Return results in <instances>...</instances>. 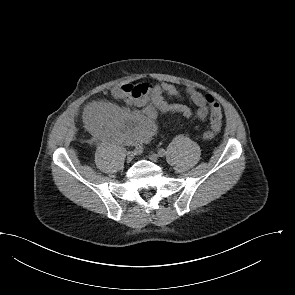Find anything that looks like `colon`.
<instances>
[{"instance_id": "obj_1", "label": "colon", "mask_w": 295, "mask_h": 295, "mask_svg": "<svg viewBox=\"0 0 295 295\" xmlns=\"http://www.w3.org/2000/svg\"><path fill=\"white\" fill-rule=\"evenodd\" d=\"M206 99L210 105V110H211L210 119H211V121L219 122L222 119L220 105L210 95H206ZM213 137H214V135L209 131L205 134L206 139H212Z\"/></svg>"}]
</instances>
